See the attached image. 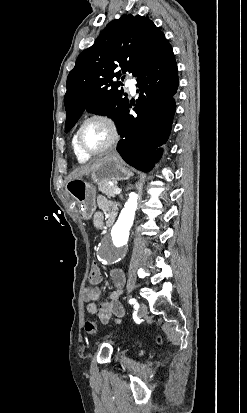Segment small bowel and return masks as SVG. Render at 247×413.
I'll return each mask as SVG.
<instances>
[{"label": "small bowel", "mask_w": 247, "mask_h": 413, "mask_svg": "<svg viewBox=\"0 0 247 413\" xmlns=\"http://www.w3.org/2000/svg\"><path fill=\"white\" fill-rule=\"evenodd\" d=\"M97 204L101 211H98L94 215V225L97 228H101L104 225V218H106L109 223H114L117 215V205L104 196L98 197ZM110 277L114 287L110 300L98 305L97 302L101 297L100 290H84V299L88 302L87 312L90 315L97 316L104 324H107L110 321L112 315H114L116 321L120 323L125 314L123 305L119 300V296L123 291L125 283L124 272L119 268L113 269L110 273Z\"/></svg>", "instance_id": "c3829d8e"}]
</instances>
